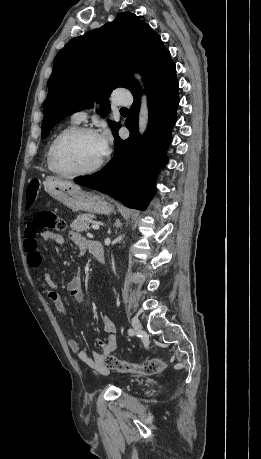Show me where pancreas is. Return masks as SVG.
<instances>
[{"mask_svg":"<svg viewBox=\"0 0 261 459\" xmlns=\"http://www.w3.org/2000/svg\"><path fill=\"white\" fill-rule=\"evenodd\" d=\"M95 222L94 215L90 213L79 214L77 218L70 224L72 230L77 232L87 231L89 223Z\"/></svg>","mask_w":261,"mask_h":459,"instance_id":"1","label":"pancreas"}]
</instances>
